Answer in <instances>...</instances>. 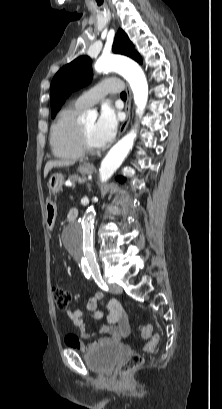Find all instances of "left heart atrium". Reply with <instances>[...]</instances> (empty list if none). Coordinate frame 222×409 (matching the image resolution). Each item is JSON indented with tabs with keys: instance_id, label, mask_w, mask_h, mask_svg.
<instances>
[{
	"instance_id": "obj_1",
	"label": "left heart atrium",
	"mask_w": 222,
	"mask_h": 409,
	"mask_svg": "<svg viewBox=\"0 0 222 409\" xmlns=\"http://www.w3.org/2000/svg\"><path fill=\"white\" fill-rule=\"evenodd\" d=\"M117 127L118 120L115 112L110 107H104L94 130V138L99 148L107 145L114 138Z\"/></svg>"
}]
</instances>
